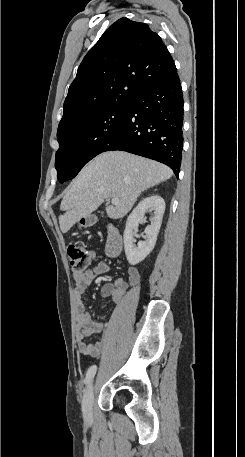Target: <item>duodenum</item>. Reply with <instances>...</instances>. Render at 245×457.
Here are the masks:
<instances>
[{
	"label": "duodenum",
	"instance_id": "obj_1",
	"mask_svg": "<svg viewBox=\"0 0 245 457\" xmlns=\"http://www.w3.org/2000/svg\"><path fill=\"white\" fill-rule=\"evenodd\" d=\"M107 244L109 252L112 256L119 253L122 247V239L116 228L110 226L108 229Z\"/></svg>",
	"mask_w": 245,
	"mask_h": 457
}]
</instances>
